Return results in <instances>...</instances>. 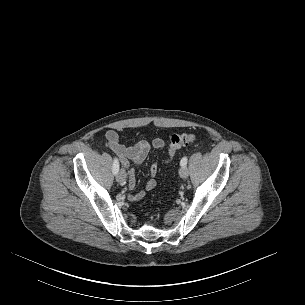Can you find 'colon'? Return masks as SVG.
Returning a JSON list of instances; mask_svg holds the SVG:
<instances>
[{"label":"colon","instance_id":"colon-1","mask_svg":"<svg viewBox=\"0 0 305 305\" xmlns=\"http://www.w3.org/2000/svg\"><path fill=\"white\" fill-rule=\"evenodd\" d=\"M195 140L196 136L194 134L182 133L171 135L169 144V156L172 157L178 149L191 144Z\"/></svg>","mask_w":305,"mask_h":305}]
</instances>
